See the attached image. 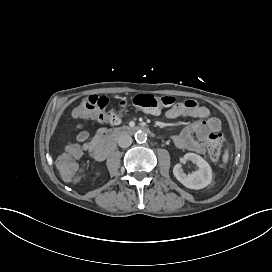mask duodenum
Wrapping results in <instances>:
<instances>
[{"label": "duodenum", "mask_w": 272, "mask_h": 272, "mask_svg": "<svg viewBox=\"0 0 272 272\" xmlns=\"http://www.w3.org/2000/svg\"><path fill=\"white\" fill-rule=\"evenodd\" d=\"M138 131L150 132L144 126H126L115 129L102 130L99 135L98 144L93 152L97 161H103L114 149L118 138L124 135H132Z\"/></svg>", "instance_id": "duodenum-1"}]
</instances>
